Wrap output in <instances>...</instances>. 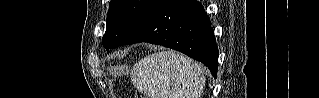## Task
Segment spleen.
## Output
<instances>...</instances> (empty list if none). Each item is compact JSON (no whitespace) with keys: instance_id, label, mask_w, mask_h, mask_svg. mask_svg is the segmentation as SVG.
Instances as JSON below:
<instances>
[{"instance_id":"3e777b00","label":"spleen","mask_w":319,"mask_h":98,"mask_svg":"<svg viewBox=\"0 0 319 98\" xmlns=\"http://www.w3.org/2000/svg\"><path fill=\"white\" fill-rule=\"evenodd\" d=\"M131 81L149 98H200L205 72L193 60L167 50L137 62L131 70Z\"/></svg>"}]
</instances>
